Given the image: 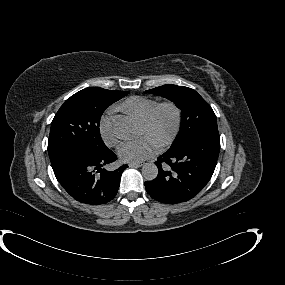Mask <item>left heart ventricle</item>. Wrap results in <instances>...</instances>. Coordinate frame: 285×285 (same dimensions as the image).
Returning a JSON list of instances; mask_svg holds the SVG:
<instances>
[{
  "label": "left heart ventricle",
  "instance_id": "left-heart-ventricle-1",
  "mask_svg": "<svg viewBox=\"0 0 285 285\" xmlns=\"http://www.w3.org/2000/svg\"><path fill=\"white\" fill-rule=\"evenodd\" d=\"M171 117H172V111H170L167 116L165 117V120L164 122L162 123V126H161V131H165V129L167 128L170 120H171Z\"/></svg>",
  "mask_w": 285,
  "mask_h": 285
}]
</instances>
